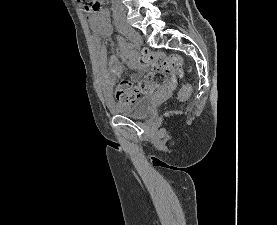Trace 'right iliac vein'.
<instances>
[{"label": "right iliac vein", "mask_w": 277, "mask_h": 225, "mask_svg": "<svg viewBox=\"0 0 277 225\" xmlns=\"http://www.w3.org/2000/svg\"><path fill=\"white\" fill-rule=\"evenodd\" d=\"M122 35L131 40L134 44L142 43L141 35L134 29L129 27H124L120 29Z\"/></svg>", "instance_id": "right-iliac-vein-1"}]
</instances>
